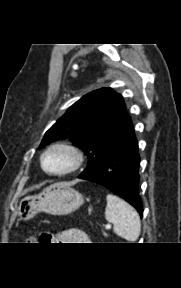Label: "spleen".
<instances>
[{
    "mask_svg": "<svg viewBox=\"0 0 181 288\" xmlns=\"http://www.w3.org/2000/svg\"><path fill=\"white\" fill-rule=\"evenodd\" d=\"M105 217L113 224L114 232L128 241H136L140 235L141 224L135 209L119 197L108 194Z\"/></svg>",
    "mask_w": 181,
    "mask_h": 288,
    "instance_id": "spleen-1",
    "label": "spleen"
}]
</instances>
